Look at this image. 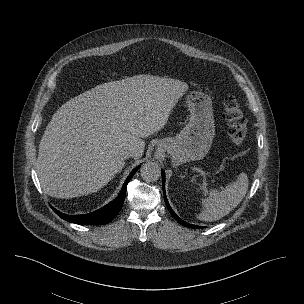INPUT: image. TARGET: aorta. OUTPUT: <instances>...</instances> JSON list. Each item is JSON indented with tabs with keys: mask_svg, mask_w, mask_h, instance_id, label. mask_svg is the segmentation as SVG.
<instances>
[{
	"mask_svg": "<svg viewBox=\"0 0 304 304\" xmlns=\"http://www.w3.org/2000/svg\"><path fill=\"white\" fill-rule=\"evenodd\" d=\"M141 177L146 182H154L158 180L161 176L160 166L155 162H147L145 163L141 169Z\"/></svg>",
	"mask_w": 304,
	"mask_h": 304,
	"instance_id": "obj_1",
	"label": "aorta"
}]
</instances>
